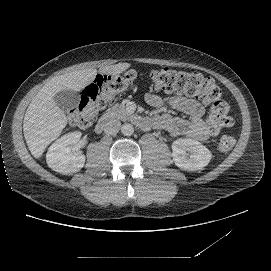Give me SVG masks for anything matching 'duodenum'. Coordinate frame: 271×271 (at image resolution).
Segmentation results:
<instances>
[{
	"label": "duodenum",
	"instance_id": "410a0bca",
	"mask_svg": "<svg viewBox=\"0 0 271 271\" xmlns=\"http://www.w3.org/2000/svg\"><path fill=\"white\" fill-rule=\"evenodd\" d=\"M116 123L107 115L101 117L95 125L97 133L112 134L116 131Z\"/></svg>",
	"mask_w": 271,
	"mask_h": 271
}]
</instances>
